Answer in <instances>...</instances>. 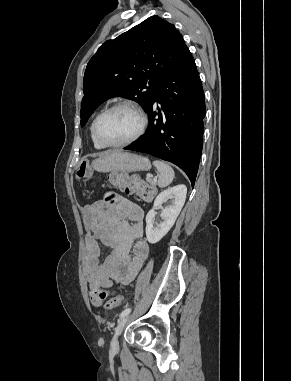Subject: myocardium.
I'll use <instances>...</instances> for the list:
<instances>
[{
    "mask_svg": "<svg viewBox=\"0 0 291 381\" xmlns=\"http://www.w3.org/2000/svg\"><path fill=\"white\" fill-rule=\"evenodd\" d=\"M120 108H129V109H132L133 111L136 112V114L138 115V117L140 119L139 128L132 137H130L129 139H127L125 141L118 142V143L108 142L102 137V135L100 133V130H99L100 122L108 114H110L111 112H113L117 109H120ZM147 123H148L147 116H146L145 112L143 111V109L139 105H137L136 103L131 102V101H121V102H118V103L106 108L97 116V118L94 121L93 130H94V135H95L96 139L99 141V143H101L105 147L117 148V147H124V146L130 145V144L134 143L135 141H137L144 134L146 127H147Z\"/></svg>",
    "mask_w": 291,
    "mask_h": 381,
    "instance_id": "myocardium-1",
    "label": "myocardium"
}]
</instances>
